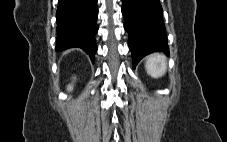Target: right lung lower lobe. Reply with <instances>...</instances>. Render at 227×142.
I'll return each mask as SVG.
<instances>
[{
	"mask_svg": "<svg viewBox=\"0 0 227 142\" xmlns=\"http://www.w3.org/2000/svg\"><path fill=\"white\" fill-rule=\"evenodd\" d=\"M97 0H59L56 50L83 49L94 62L97 46Z\"/></svg>",
	"mask_w": 227,
	"mask_h": 142,
	"instance_id": "98d812e1",
	"label": "right lung lower lobe"
}]
</instances>
